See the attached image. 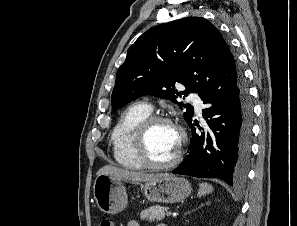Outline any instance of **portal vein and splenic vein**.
Returning a JSON list of instances; mask_svg holds the SVG:
<instances>
[{"instance_id":"1","label":"portal vein and splenic vein","mask_w":297,"mask_h":226,"mask_svg":"<svg viewBox=\"0 0 297 226\" xmlns=\"http://www.w3.org/2000/svg\"><path fill=\"white\" fill-rule=\"evenodd\" d=\"M166 214H167L168 216H170V215H172V212H171V211H167Z\"/></svg>"}]
</instances>
